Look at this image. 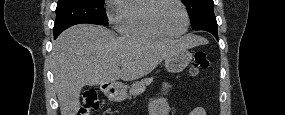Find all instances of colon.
I'll use <instances>...</instances> for the list:
<instances>
[{"label": "colon", "instance_id": "1", "mask_svg": "<svg viewBox=\"0 0 285 115\" xmlns=\"http://www.w3.org/2000/svg\"><path fill=\"white\" fill-rule=\"evenodd\" d=\"M209 62L204 52H196L190 67L192 75H198L208 68ZM99 108V101L94 91H87L83 95V101L79 110V115H88Z\"/></svg>", "mask_w": 285, "mask_h": 115}]
</instances>
